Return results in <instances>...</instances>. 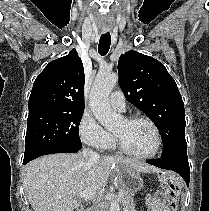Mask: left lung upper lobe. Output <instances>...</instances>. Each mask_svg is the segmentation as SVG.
I'll use <instances>...</instances> for the list:
<instances>
[{"label":"left lung upper lobe","instance_id":"left-lung-upper-lobe-1","mask_svg":"<svg viewBox=\"0 0 209 211\" xmlns=\"http://www.w3.org/2000/svg\"><path fill=\"white\" fill-rule=\"evenodd\" d=\"M118 73L126 99L159 128L164 143L161 157L186 150L184 103L165 66L131 50L120 56Z\"/></svg>","mask_w":209,"mask_h":211}]
</instances>
